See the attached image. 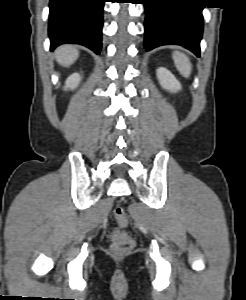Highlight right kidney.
Wrapping results in <instances>:
<instances>
[{"label":"right kidney","instance_id":"right-kidney-1","mask_svg":"<svg viewBox=\"0 0 246 300\" xmlns=\"http://www.w3.org/2000/svg\"><path fill=\"white\" fill-rule=\"evenodd\" d=\"M80 80H81L80 74H78V73H73L72 75H70V76L67 78V80H66V82H65V87H64V89H65V90H67V89H71V90L75 89V88L78 86Z\"/></svg>","mask_w":246,"mask_h":300}]
</instances>
